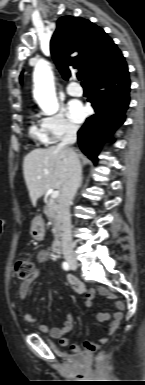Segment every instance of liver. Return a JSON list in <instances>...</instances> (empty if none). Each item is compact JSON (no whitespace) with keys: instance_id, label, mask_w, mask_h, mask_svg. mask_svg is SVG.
<instances>
[{"instance_id":"liver-1","label":"liver","mask_w":145,"mask_h":385,"mask_svg":"<svg viewBox=\"0 0 145 385\" xmlns=\"http://www.w3.org/2000/svg\"><path fill=\"white\" fill-rule=\"evenodd\" d=\"M75 153L59 145L34 149L23 161L24 179L33 205L50 188H62L69 172V156ZM40 177V178H38Z\"/></svg>"}]
</instances>
